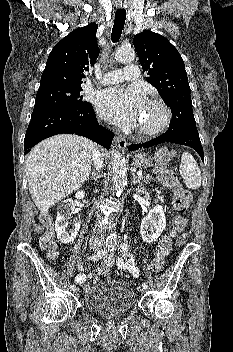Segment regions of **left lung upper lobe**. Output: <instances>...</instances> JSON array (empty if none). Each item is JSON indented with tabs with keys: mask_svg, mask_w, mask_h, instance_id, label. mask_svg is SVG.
Here are the masks:
<instances>
[{
	"mask_svg": "<svg viewBox=\"0 0 233 352\" xmlns=\"http://www.w3.org/2000/svg\"><path fill=\"white\" fill-rule=\"evenodd\" d=\"M133 44L143 72L148 75L146 80L171 109L172 121L168 130L197 129L187 73L178 50L167 38L149 30L135 35Z\"/></svg>",
	"mask_w": 233,
	"mask_h": 352,
	"instance_id": "1",
	"label": "left lung upper lobe"
}]
</instances>
